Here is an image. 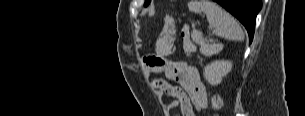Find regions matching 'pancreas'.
Here are the masks:
<instances>
[{"label":"pancreas","mask_w":305,"mask_h":116,"mask_svg":"<svg viewBox=\"0 0 305 116\" xmlns=\"http://www.w3.org/2000/svg\"><path fill=\"white\" fill-rule=\"evenodd\" d=\"M195 42L201 44V42L198 39H194ZM188 53L191 52L190 50H186Z\"/></svg>","instance_id":"cf45deb5"}]
</instances>
